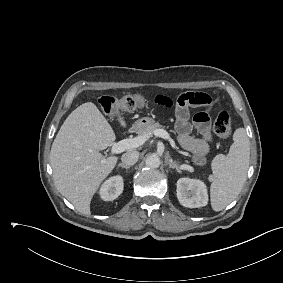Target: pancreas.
I'll use <instances>...</instances> for the list:
<instances>
[{"mask_svg": "<svg viewBox=\"0 0 283 283\" xmlns=\"http://www.w3.org/2000/svg\"><path fill=\"white\" fill-rule=\"evenodd\" d=\"M163 126L158 123V122H154L151 126H149L146 130H144L143 132H141L144 136L146 137H151L153 134H154V131L156 129H160L162 128Z\"/></svg>", "mask_w": 283, "mask_h": 283, "instance_id": "cf45deb5", "label": "pancreas"}]
</instances>
